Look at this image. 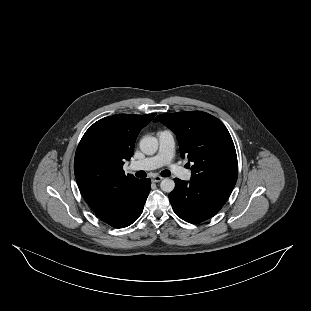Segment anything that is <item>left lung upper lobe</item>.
<instances>
[{"label":"left lung upper lobe","instance_id":"1","mask_svg":"<svg viewBox=\"0 0 311 311\" xmlns=\"http://www.w3.org/2000/svg\"><path fill=\"white\" fill-rule=\"evenodd\" d=\"M154 121L163 123L176 134L181 157L187 156L192 163V181L235 186L238 177L236 150L219 119L195 111L161 114Z\"/></svg>","mask_w":311,"mask_h":311}]
</instances>
